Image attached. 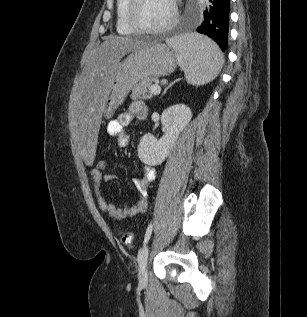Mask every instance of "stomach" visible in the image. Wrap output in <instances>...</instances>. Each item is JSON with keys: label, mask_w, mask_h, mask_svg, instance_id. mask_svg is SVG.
<instances>
[{"label": "stomach", "mask_w": 307, "mask_h": 317, "mask_svg": "<svg viewBox=\"0 0 307 317\" xmlns=\"http://www.w3.org/2000/svg\"><path fill=\"white\" fill-rule=\"evenodd\" d=\"M175 68L174 53L164 44H146L132 51L116 67L104 100V116L111 117L138 82L169 75Z\"/></svg>", "instance_id": "obj_1"}]
</instances>
